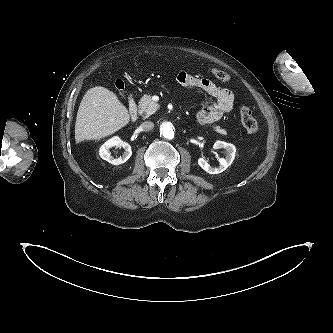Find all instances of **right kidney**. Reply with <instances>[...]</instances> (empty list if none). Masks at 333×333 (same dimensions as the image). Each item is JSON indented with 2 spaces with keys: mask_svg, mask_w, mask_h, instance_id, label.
<instances>
[{
  "mask_svg": "<svg viewBox=\"0 0 333 333\" xmlns=\"http://www.w3.org/2000/svg\"><path fill=\"white\" fill-rule=\"evenodd\" d=\"M115 146H117V147L120 146L124 149L122 156H120L119 158H114L109 151L112 147H115ZM99 155L102 159L108 161L109 163H111L113 165H120V164L125 163L131 157L132 149L128 143L123 142L118 136H114V137L110 138L109 140H107L100 147Z\"/></svg>",
  "mask_w": 333,
  "mask_h": 333,
  "instance_id": "ca27d5eb",
  "label": "right kidney"
}]
</instances>
